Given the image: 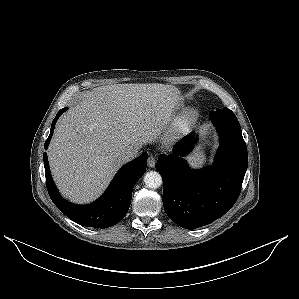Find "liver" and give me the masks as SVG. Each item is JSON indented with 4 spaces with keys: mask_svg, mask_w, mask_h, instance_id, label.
<instances>
[{
    "mask_svg": "<svg viewBox=\"0 0 299 299\" xmlns=\"http://www.w3.org/2000/svg\"><path fill=\"white\" fill-rule=\"evenodd\" d=\"M180 91L164 84H116L86 92L60 118L48 149L53 179L76 203L98 198L130 146L152 143L171 121Z\"/></svg>",
    "mask_w": 299,
    "mask_h": 299,
    "instance_id": "obj_1",
    "label": "liver"
}]
</instances>
